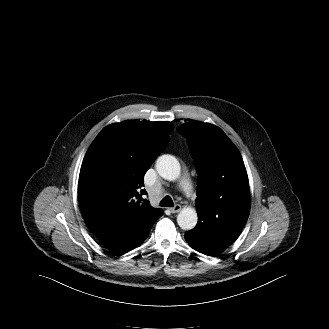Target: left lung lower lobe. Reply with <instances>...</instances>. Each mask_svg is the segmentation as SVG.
Here are the masks:
<instances>
[{
  "instance_id": "1",
  "label": "left lung lower lobe",
  "mask_w": 329,
  "mask_h": 329,
  "mask_svg": "<svg viewBox=\"0 0 329 329\" xmlns=\"http://www.w3.org/2000/svg\"><path fill=\"white\" fill-rule=\"evenodd\" d=\"M221 233L213 237H205L191 230L185 234V239L195 250L208 256H216L229 247L241 233L242 228L229 225Z\"/></svg>"
}]
</instances>
